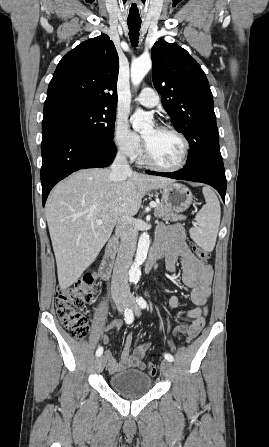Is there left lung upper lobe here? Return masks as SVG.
<instances>
[{
	"label": "left lung upper lobe",
	"instance_id": "obj_1",
	"mask_svg": "<svg viewBox=\"0 0 269 447\" xmlns=\"http://www.w3.org/2000/svg\"><path fill=\"white\" fill-rule=\"evenodd\" d=\"M151 56L154 87L173 126L190 145L185 168L222 158L213 96L200 65L185 49L164 40L154 44Z\"/></svg>",
	"mask_w": 269,
	"mask_h": 447
}]
</instances>
